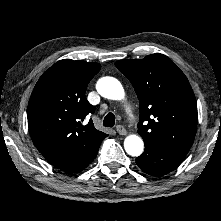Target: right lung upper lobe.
<instances>
[{
	"label": "right lung upper lobe",
	"instance_id": "cb5924a9",
	"mask_svg": "<svg viewBox=\"0 0 221 221\" xmlns=\"http://www.w3.org/2000/svg\"><path fill=\"white\" fill-rule=\"evenodd\" d=\"M101 65L65 59L52 65L38 80L28 103V126L38 151L50 163L61 162L107 137L92 119L94 107L85 91Z\"/></svg>",
	"mask_w": 221,
	"mask_h": 221
}]
</instances>
